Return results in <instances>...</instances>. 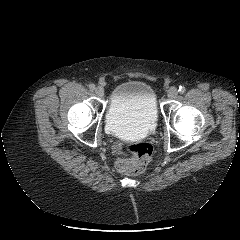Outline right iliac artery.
Here are the masks:
<instances>
[{"instance_id": "82829eb1", "label": "right iliac artery", "mask_w": 240, "mask_h": 240, "mask_svg": "<svg viewBox=\"0 0 240 240\" xmlns=\"http://www.w3.org/2000/svg\"><path fill=\"white\" fill-rule=\"evenodd\" d=\"M89 89L91 90V91H93L94 89H95V85L94 84H89Z\"/></svg>"}]
</instances>
